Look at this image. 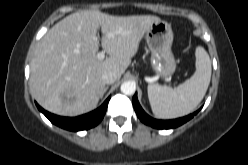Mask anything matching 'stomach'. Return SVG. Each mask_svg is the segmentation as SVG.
<instances>
[{
    "instance_id": "0dacf381",
    "label": "stomach",
    "mask_w": 248,
    "mask_h": 165,
    "mask_svg": "<svg viewBox=\"0 0 248 165\" xmlns=\"http://www.w3.org/2000/svg\"><path fill=\"white\" fill-rule=\"evenodd\" d=\"M146 42L151 51L150 64L161 77H170L176 69V62L171 50L173 32L166 21H155L146 31Z\"/></svg>"
}]
</instances>
